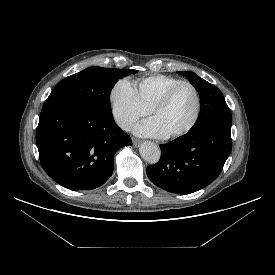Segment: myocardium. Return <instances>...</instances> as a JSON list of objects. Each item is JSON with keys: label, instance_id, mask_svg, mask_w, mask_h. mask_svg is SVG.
Instances as JSON below:
<instances>
[{"label": "myocardium", "instance_id": "1", "mask_svg": "<svg viewBox=\"0 0 275 275\" xmlns=\"http://www.w3.org/2000/svg\"><path fill=\"white\" fill-rule=\"evenodd\" d=\"M183 86L190 87L195 94V98H196L195 113H194V116L191 119V121L184 128H182L181 130L176 131L174 133L167 134L165 137L168 139L178 138V137H181V136L189 133L195 127V125L197 124V122L200 118V115H201L202 100H201L200 93H199L198 89L196 88V86L188 81H182V82L172 86L170 89H168L163 94V96L151 108V110H150L151 115H154L158 110L167 106L169 104V102L171 101L173 95L176 93V91Z\"/></svg>", "mask_w": 275, "mask_h": 275}]
</instances>
